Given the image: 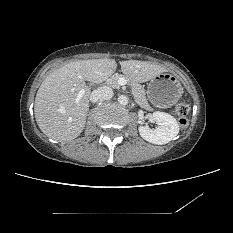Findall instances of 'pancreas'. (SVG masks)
Returning a JSON list of instances; mask_svg holds the SVG:
<instances>
[{
  "instance_id": "obj_1",
  "label": "pancreas",
  "mask_w": 233,
  "mask_h": 233,
  "mask_svg": "<svg viewBox=\"0 0 233 233\" xmlns=\"http://www.w3.org/2000/svg\"><path fill=\"white\" fill-rule=\"evenodd\" d=\"M121 77H124L129 81V83L133 89L134 98H135V101L137 102V104L143 108H148L149 104H148V101L146 99L145 89L139 83L132 81V80H129L127 77H125L123 75L115 74L107 80V84L110 85L112 88H119L120 85H119L118 80Z\"/></svg>"
}]
</instances>
